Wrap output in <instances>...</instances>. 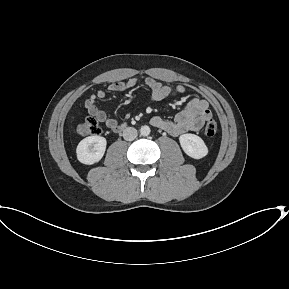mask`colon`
Masks as SVG:
<instances>
[{"mask_svg":"<svg viewBox=\"0 0 289 289\" xmlns=\"http://www.w3.org/2000/svg\"><path fill=\"white\" fill-rule=\"evenodd\" d=\"M217 128L218 127L216 121L209 119L205 125L204 133L207 137L211 138L215 136ZM76 131L82 136H96L101 133V128L96 118L89 117L77 125Z\"/></svg>","mask_w":289,"mask_h":289,"instance_id":"obj_1","label":"colon"}]
</instances>
